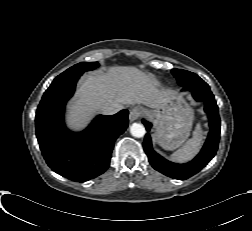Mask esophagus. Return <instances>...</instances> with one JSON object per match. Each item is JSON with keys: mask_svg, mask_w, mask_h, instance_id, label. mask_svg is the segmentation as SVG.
Segmentation results:
<instances>
[{"mask_svg": "<svg viewBox=\"0 0 252 231\" xmlns=\"http://www.w3.org/2000/svg\"><path fill=\"white\" fill-rule=\"evenodd\" d=\"M142 113H143V109L141 107H135L131 109L130 114H129L130 121L132 122L139 119Z\"/></svg>", "mask_w": 252, "mask_h": 231, "instance_id": "esophagus-1", "label": "esophagus"}]
</instances>
